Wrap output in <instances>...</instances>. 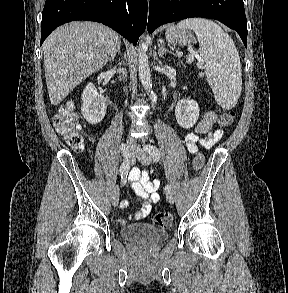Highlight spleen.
I'll return each instance as SVG.
<instances>
[{"label":"spleen","instance_id":"obj_1","mask_svg":"<svg viewBox=\"0 0 288 293\" xmlns=\"http://www.w3.org/2000/svg\"><path fill=\"white\" fill-rule=\"evenodd\" d=\"M178 29H192L205 62V74L216 102L224 109L234 107L242 90L240 57L231 37L215 22L204 18L185 19Z\"/></svg>","mask_w":288,"mask_h":293}]
</instances>
